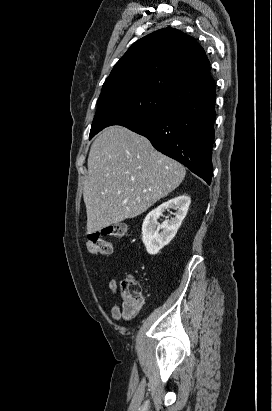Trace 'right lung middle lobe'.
<instances>
[{
	"mask_svg": "<svg viewBox=\"0 0 272 411\" xmlns=\"http://www.w3.org/2000/svg\"><path fill=\"white\" fill-rule=\"evenodd\" d=\"M177 105V100L144 88L102 93L97 101L90 139L107 126L128 127L162 114Z\"/></svg>",
	"mask_w": 272,
	"mask_h": 411,
	"instance_id": "1",
	"label": "right lung middle lobe"
}]
</instances>
